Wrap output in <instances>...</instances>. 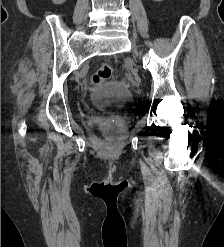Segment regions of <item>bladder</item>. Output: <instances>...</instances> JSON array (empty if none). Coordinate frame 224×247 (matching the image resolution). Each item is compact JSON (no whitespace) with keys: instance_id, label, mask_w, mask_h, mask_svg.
Here are the masks:
<instances>
[{"instance_id":"obj_1","label":"bladder","mask_w":224,"mask_h":247,"mask_svg":"<svg viewBox=\"0 0 224 247\" xmlns=\"http://www.w3.org/2000/svg\"><path fill=\"white\" fill-rule=\"evenodd\" d=\"M134 102L133 93L121 85L113 84L105 89H97L91 93L88 104L101 112L113 113L126 117Z\"/></svg>"}]
</instances>
